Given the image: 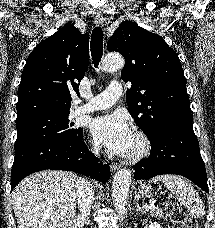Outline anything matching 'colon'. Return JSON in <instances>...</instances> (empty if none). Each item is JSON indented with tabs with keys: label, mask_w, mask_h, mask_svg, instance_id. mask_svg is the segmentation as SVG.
Here are the masks:
<instances>
[{
	"label": "colon",
	"mask_w": 215,
	"mask_h": 228,
	"mask_svg": "<svg viewBox=\"0 0 215 228\" xmlns=\"http://www.w3.org/2000/svg\"><path fill=\"white\" fill-rule=\"evenodd\" d=\"M164 212L174 226L179 228H199L197 223L173 202L165 203Z\"/></svg>",
	"instance_id": "1"
}]
</instances>
